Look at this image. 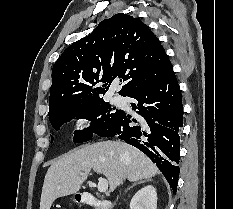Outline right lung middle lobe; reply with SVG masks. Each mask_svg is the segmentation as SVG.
Here are the masks:
<instances>
[{
  "label": "right lung middle lobe",
  "mask_w": 233,
  "mask_h": 209,
  "mask_svg": "<svg viewBox=\"0 0 233 209\" xmlns=\"http://www.w3.org/2000/svg\"><path fill=\"white\" fill-rule=\"evenodd\" d=\"M113 110L114 108H112L108 102L99 99L92 102L59 107L48 115L56 131L59 130L64 123H67L73 118H82L91 121L90 127L75 132L76 134L73 141L75 143H81L89 141L92 138V133L97 135L103 133L119 118L122 111ZM51 142H53V137L51 138Z\"/></svg>",
  "instance_id": "1"
}]
</instances>
